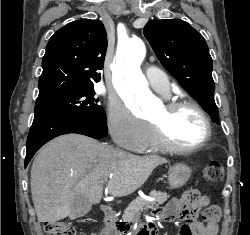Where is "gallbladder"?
<instances>
[{"instance_id":"1","label":"gallbladder","mask_w":250,"mask_h":235,"mask_svg":"<svg viewBox=\"0 0 250 235\" xmlns=\"http://www.w3.org/2000/svg\"><path fill=\"white\" fill-rule=\"evenodd\" d=\"M91 209L88 199L84 196H77L71 204L70 219H77L85 216Z\"/></svg>"}]
</instances>
